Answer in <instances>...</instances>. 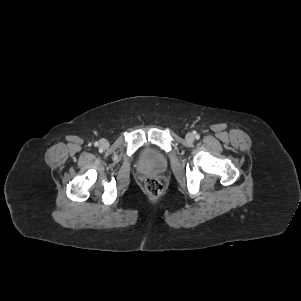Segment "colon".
Here are the masks:
<instances>
[{"instance_id": "obj_1", "label": "colon", "mask_w": 301, "mask_h": 301, "mask_svg": "<svg viewBox=\"0 0 301 301\" xmlns=\"http://www.w3.org/2000/svg\"><path fill=\"white\" fill-rule=\"evenodd\" d=\"M144 189L150 196L157 197L163 192V184L156 178H148L144 182Z\"/></svg>"}]
</instances>
